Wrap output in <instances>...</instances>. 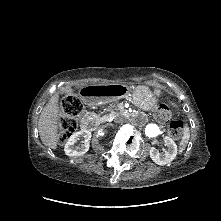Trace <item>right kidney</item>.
Returning a JSON list of instances; mask_svg holds the SVG:
<instances>
[{"mask_svg": "<svg viewBox=\"0 0 221 221\" xmlns=\"http://www.w3.org/2000/svg\"><path fill=\"white\" fill-rule=\"evenodd\" d=\"M90 139V131L82 130L74 133L70 136L64 147L65 154L67 156H81L85 154L89 150ZM77 142H81V144H77Z\"/></svg>", "mask_w": 221, "mask_h": 221, "instance_id": "obj_1", "label": "right kidney"}]
</instances>
